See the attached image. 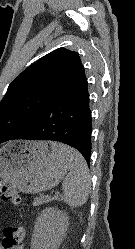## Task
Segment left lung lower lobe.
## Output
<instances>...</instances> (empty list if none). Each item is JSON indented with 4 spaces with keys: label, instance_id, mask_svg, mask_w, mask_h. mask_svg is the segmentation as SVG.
<instances>
[{
    "label": "left lung lower lobe",
    "instance_id": "0a47b994",
    "mask_svg": "<svg viewBox=\"0 0 135 249\" xmlns=\"http://www.w3.org/2000/svg\"><path fill=\"white\" fill-rule=\"evenodd\" d=\"M89 103L86 79L41 109L33 127L13 139L51 140L68 144L79 150L90 165L92 117Z\"/></svg>",
    "mask_w": 135,
    "mask_h": 249
}]
</instances>
